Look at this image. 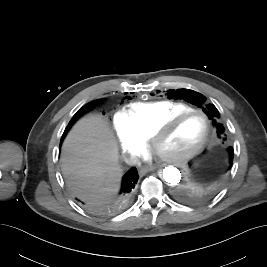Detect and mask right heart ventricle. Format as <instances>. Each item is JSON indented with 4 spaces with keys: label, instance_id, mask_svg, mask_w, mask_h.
Instances as JSON below:
<instances>
[{
    "label": "right heart ventricle",
    "instance_id": "e07e8e85",
    "mask_svg": "<svg viewBox=\"0 0 267 267\" xmlns=\"http://www.w3.org/2000/svg\"><path fill=\"white\" fill-rule=\"evenodd\" d=\"M188 109L193 108L183 102L161 100L132 103L124 110V114L131 126L147 140L167 118Z\"/></svg>",
    "mask_w": 267,
    "mask_h": 267
}]
</instances>
